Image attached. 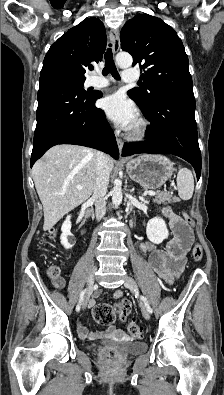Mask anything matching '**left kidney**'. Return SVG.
<instances>
[{"instance_id": "1", "label": "left kidney", "mask_w": 224, "mask_h": 395, "mask_svg": "<svg viewBox=\"0 0 224 395\" xmlns=\"http://www.w3.org/2000/svg\"><path fill=\"white\" fill-rule=\"evenodd\" d=\"M146 234L148 239L154 244L162 243L169 236L166 223L160 217H155L147 223Z\"/></svg>"}]
</instances>
